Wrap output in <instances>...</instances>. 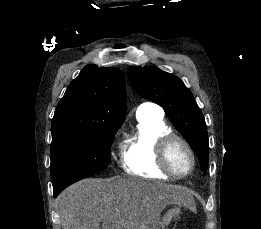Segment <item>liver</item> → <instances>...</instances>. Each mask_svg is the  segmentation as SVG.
Instances as JSON below:
<instances>
[{"label": "liver", "instance_id": "1", "mask_svg": "<svg viewBox=\"0 0 261 229\" xmlns=\"http://www.w3.org/2000/svg\"><path fill=\"white\" fill-rule=\"evenodd\" d=\"M177 185L143 179H83L62 193L63 229H155L165 205L191 201Z\"/></svg>", "mask_w": 261, "mask_h": 229}]
</instances>
